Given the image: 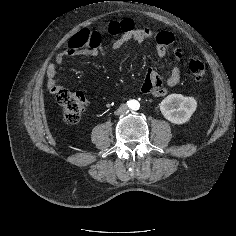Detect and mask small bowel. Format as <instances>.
Wrapping results in <instances>:
<instances>
[{
  "label": "small bowel",
  "mask_w": 236,
  "mask_h": 236,
  "mask_svg": "<svg viewBox=\"0 0 236 236\" xmlns=\"http://www.w3.org/2000/svg\"><path fill=\"white\" fill-rule=\"evenodd\" d=\"M106 31L115 36V40L110 49L117 50L122 48L126 43L134 41L145 43L152 39L155 45L156 54L163 58L168 49L173 46V55L176 61L181 62L184 59L185 51L180 45H174V36L170 32L162 31L153 33L149 28H136L132 20L125 19L120 22L110 21L107 24ZM108 48L102 42V35L99 31L91 29H82L70 38L67 49L56 56V64H62L66 58L78 55L96 56L106 54ZM56 64H49L46 69L47 88L51 94H56L62 86L56 80ZM181 80V70L178 66L172 67L165 81L168 87L176 86ZM141 91L144 94L154 96H163L167 89L160 76L153 70H149L141 84Z\"/></svg>",
  "instance_id": "c3829d8e"
}]
</instances>
